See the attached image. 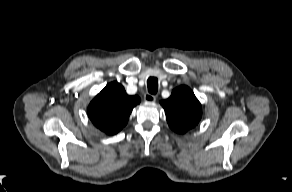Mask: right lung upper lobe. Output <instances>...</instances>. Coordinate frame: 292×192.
<instances>
[{
    "label": "right lung upper lobe",
    "mask_w": 292,
    "mask_h": 192,
    "mask_svg": "<svg viewBox=\"0 0 292 192\" xmlns=\"http://www.w3.org/2000/svg\"><path fill=\"white\" fill-rule=\"evenodd\" d=\"M139 103L138 96L127 95L121 84L111 82L89 104L88 117L101 131L114 135L127 124Z\"/></svg>",
    "instance_id": "1"
}]
</instances>
